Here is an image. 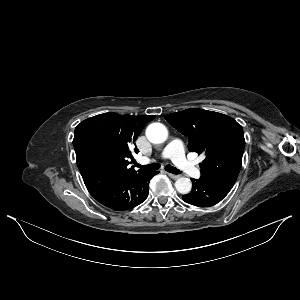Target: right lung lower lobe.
<instances>
[{"label":"right lung lower lobe","mask_w":300,"mask_h":300,"mask_svg":"<svg viewBox=\"0 0 300 300\" xmlns=\"http://www.w3.org/2000/svg\"><path fill=\"white\" fill-rule=\"evenodd\" d=\"M158 172H140L127 175L112 183L88 189L102 205L114 211H125L146 200L149 181Z\"/></svg>","instance_id":"right-lung-lower-lobe-1"}]
</instances>
